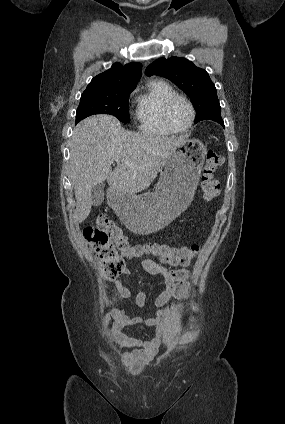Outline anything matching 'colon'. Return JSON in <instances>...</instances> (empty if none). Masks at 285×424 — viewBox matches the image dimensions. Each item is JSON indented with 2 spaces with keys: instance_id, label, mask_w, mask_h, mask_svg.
Here are the masks:
<instances>
[{
  "instance_id": "1",
  "label": "colon",
  "mask_w": 285,
  "mask_h": 424,
  "mask_svg": "<svg viewBox=\"0 0 285 424\" xmlns=\"http://www.w3.org/2000/svg\"><path fill=\"white\" fill-rule=\"evenodd\" d=\"M223 162V157L213 150L206 152L200 183V190L206 200H212L220 194L216 173ZM84 238L91 245L101 271L107 278H115L123 272L125 259L154 256L170 265H187L200 251L198 245L132 244L124 231L103 214L97 215L95 221L85 228Z\"/></svg>"
}]
</instances>
